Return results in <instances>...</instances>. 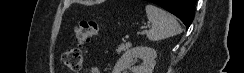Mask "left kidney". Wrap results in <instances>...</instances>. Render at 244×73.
Returning a JSON list of instances; mask_svg holds the SVG:
<instances>
[{"instance_id":"5707ae66","label":"left kidney","mask_w":244,"mask_h":73,"mask_svg":"<svg viewBox=\"0 0 244 73\" xmlns=\"http://www.w3.org/2000/svg\"><path fill=\"white\" fill-rule=\"evenodd\" d=\"M137 58L142 59V64L131 68V63ZM156 58L155 49L144 46L131 48L120 57L112 73H127V69H130L131 73H153Z\"/></svg>"}]
</instances>
